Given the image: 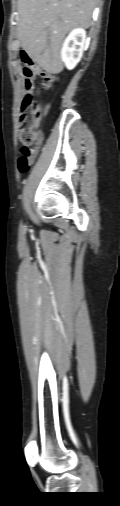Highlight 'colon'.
<instances>
[{
	"instance_id": "colon-1",
	"label": "colon",
	"mask_w": 120,
	"mask_h": 506,
	"mask_svg": "<svg viewBox=\"0 0 120 506\" xmlns=\"http://www.w3.org/2000/svg\"><path fill=\"white\" fill-rule=\"evenodd\" d=\"M21 62L24 63L23 74L25 77V89L21 103V116L19 137L22 144L20 157L18 159V169L22 174L29 171L32 161L42 143V133L40 131L41 117L46 110H42L37 101L29 93V88L33 85L34 77L42 79L44 89H51L57 81V77L38 68L32 62V57L28 50L18 52Z\"/></svg>"
}]
</instances>
